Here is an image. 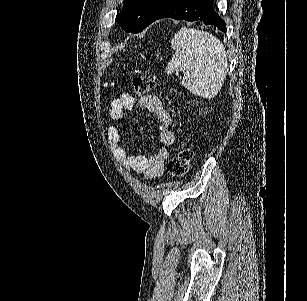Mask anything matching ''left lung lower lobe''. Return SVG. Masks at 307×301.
I'll use <instances>...</instances> for the list:
<instances>
[{
  "instance_id": "obj_1",
  "label": "left lung lower lobe",
  "mask_w": 307,
  "mask_h": 301,
  "mask_svg": "<svg viewBox=\"0 0 307 301\" xmlns=\"http://www.w3.org/2000/svg\"><path fill=\"white\" fill-rule=\"evenodd\" d=\"M214 0H178L166 9L156 20L174 18L176 20L203 21L206 25H215L226 32V24L214 11Z\"/></svg>"
}]
</instances>
